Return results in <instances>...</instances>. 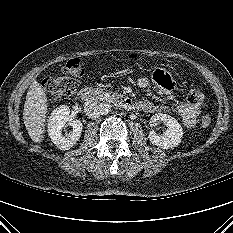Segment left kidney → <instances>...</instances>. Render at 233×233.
Here are the masks:
<instances>
[{
    "label": "left kidney",
    "instance_id": "obj_1",
    "mask_svg": "<svg viewBox=\"0 0 233 233\" xmlns=\"http://www.w3.org/2000/svg\"><path fill=\"white\" fill-rule=\"evenodd\" d=\"M160 122L165 123L167 131L163 135H158L154 130L150 131L148 135L150 142L163 149L177 146L183 137V129L179 122L174 117L162 113L155 114L150 118L151 127Z\"/></svg>",
    "mask_w": 233,
    "mask_h": 233
}]
</instances>
